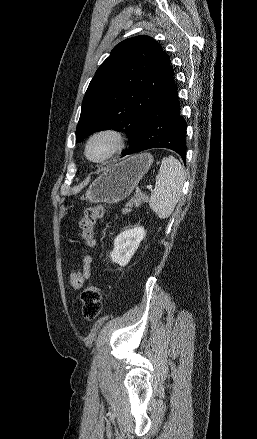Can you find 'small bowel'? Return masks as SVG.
Segmentation results:
<instances>
[{
  "instance_id": "1",
  "label": "small bowel",
  "mask_w": 257,
  "mask_h": 439,
  "mask_svg": "<svg viewBox=\"0 0 257 439\" xmlns=\"http://www.w3.org/2000/svg\"><path fill=\"white\" fill-rule=\"evenodd\" d=\"M91 262H92V258L90 255H86L83 258V284L86 280H88L90 278V267H91Z\"/></svg>"
}]
</instances>
